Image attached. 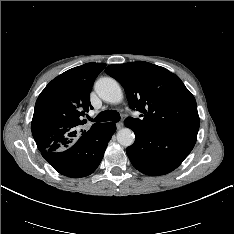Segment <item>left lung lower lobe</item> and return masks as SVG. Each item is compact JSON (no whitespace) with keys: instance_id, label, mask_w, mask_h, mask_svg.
<instances>
[{"instance_id":"obj_1","label":"left lung lower lobe","mask_w":234,"mask_h":234,"mask_svg":"<svg viewBox=\"0 0 234 234\" xmlns=\"http://www.w3.org/2000/svg\"><path fill=\"white\" fill-rule=\"evenodd\" d=\"M135 133V142L126 149L132 165L140 172L158 176L176 169L193 149L198 131L156 129L125 120Z\"/></svg>"}]
</instances>
